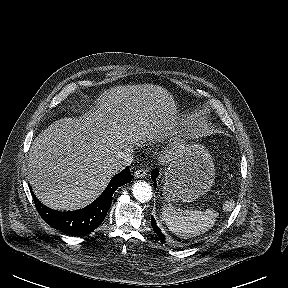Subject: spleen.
<instances>
[{
	"label": "spleen",
	"mask_w": 288,
	"mask_h": 288,
	"mask_svg": "<svg viewBox=\"0 0 288 288\" xmlns=\"http://www.w3.org/2000/svg\"><path fill=\"white\" fill-rule=\"evenodd\" d=\"M217 216L218 213L212 209L182 210L170 204L162 207V219L168 229L183 239L207 232L215 224Z\"/></svg>",
	"instance_id": "3e777b00"
}]
</instances>
